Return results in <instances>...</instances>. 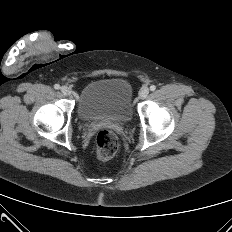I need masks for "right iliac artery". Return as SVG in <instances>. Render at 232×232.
I'll use <instances>...</instances> for the list:
<instances>
[{"instance_id":"1","label":"right iliac artery","mask_w":232,"mask_h":232,"mask_svg":"<svg viewBox=\"0 0 232 232\" xmlns=\"http://www.w3.org/2000/svg\"><path fill=\"white\" fill-rule=\"evenodd\" d=\"M54 88L58 90V89H60V85L59 84H55Z\"/></svg>"}]
</instances>
